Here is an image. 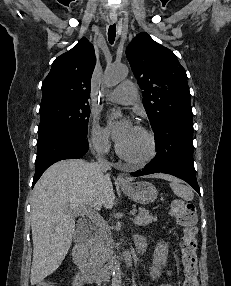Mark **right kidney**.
Masks as SVG:
<instances>
[{
	"instance_id": "ca27d5eb",
	"label": "right kidney",
	"mask_w": 231,
	"mask_h": 286,
	"mask_svg": "<svg viewBox=\"0 0 231 286\" xmlns=\"http://www.w3.org/2000/svg\"><path fill=\"white\" fill-rule=\"evenodd\" d=\"M84 278L80 273H77L73 279L72 286H83Z\"/></svg>"
}]
</instances>
